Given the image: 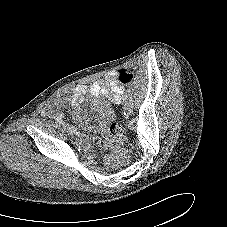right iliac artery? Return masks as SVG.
Listing matches in <instances>:
<instances>
[{
	"label": "right iliac artery",
	"instance_id": "1",
	"mask_svg": "<svg viewBox=\"0 0 227 227\" xmlns=\"http://www.w3.org/2000/svg\"><path fill=\"white\" fill-rule=\"evenodd\" d=\"M55 120L60 124H63V125L65 124L64 121L62 120L61 116H56Z\"/></svg>",
	"mask_w": 227,
	"mask_h": 227
}]
</instances>
